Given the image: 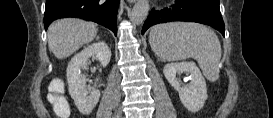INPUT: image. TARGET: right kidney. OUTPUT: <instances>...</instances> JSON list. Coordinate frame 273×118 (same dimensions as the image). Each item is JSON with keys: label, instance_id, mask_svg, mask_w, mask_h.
Here are the masks:
<instances>
[{"label": "right kidney", "instance_id": "1", "mask_svg": "<svg viewBox=\"0 0 273 118\" xmlns=\"http://www.w3.org/2000/svg\"><path fill=\"white\" fill-rule=\"evenodd\" d=\"M91 57L106 67L111 58V50L105 42L94 43L76 54L67 67L69 94L80 112L84 114H90L100 98L98 89L86 87V76L81 73V70H87V63Z\"/></svg>", "mask_w": 273, "mask_h": 118}]
</instances>
